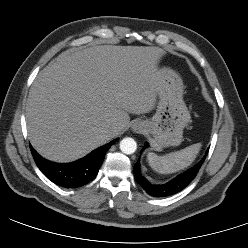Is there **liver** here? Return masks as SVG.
Returning <instances> with one entry per match:
<instances>
[{
    "instance_id": "obj_1",
    "label": "liver",
    "mask_w": 248,
    "mask_h": 248,
    "mask_svg": "<svg viewBox=\"0 0 248 248\" xmlns=\"http://www.w3.org/2000/svg\"><path fill=\"white\" fill-rule=\"evenodd\" d=\"M158 47L67 50L36 77L26 104L28 136L43 157L70 162L127 130L129 113L151 111L161 85ZM113 129L112 134H107Z\"/></svg>"
}]
</instances>
